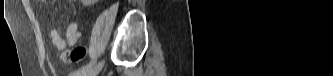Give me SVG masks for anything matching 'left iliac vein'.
Returning <instances> with one entry per match:
<instances>
[{"label":"left iliac vein","mask_w":333,"mask_h":76,"mask_svg":"<svg viewBox=\"0 0 333 76\" xmlns=\"http://www.w3.org/2000/svg\"><path fill=\"white\" fill-rule=\"evenodd\" d=\"M102 67H103V61L96 64L94 67L89 68L85 72L81 73L79 76H96L102 70Z\"/></svg>","instance_id":"4c4485c4"}]
</instances>
